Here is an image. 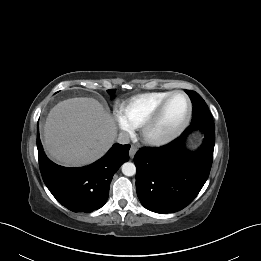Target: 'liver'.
<instances>
[{
  "label": "liver",
  "instance_id": "liver-1",
  "mask_svg": "<svg viewBox=\"0 0 261 261\" xmlns=\"http://www.w3.org/2000/svg\"><path fill=\"white\" fill-rule=\"evenodd\" d=\"M117 127L93 98L59 102L48 114L44 143L49 155L65 166H84L101 158L113 145Z\"/></svg>",
  "mask_w": 261,
  "mask_h": 261
}]
</instances>
